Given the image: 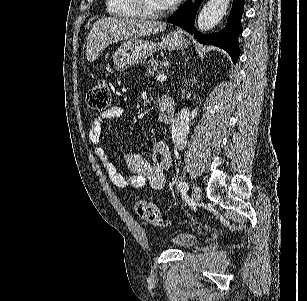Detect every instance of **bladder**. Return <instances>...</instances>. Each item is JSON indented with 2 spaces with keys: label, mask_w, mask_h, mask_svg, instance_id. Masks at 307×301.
Returning a JSON list of instances; mask_svg holds the SVG:
<instances>
[{
  "label": "bladder",
  "mask_w": 307,
  "mask_h": 301,
  "mask_svg": "<svg viewBox=\"0 0 307 301\" xmlns=\"http://www.w3.org/2000/svg\"><path fill=\"white\" fill-rule=\"evenodd\" d=\"M169 243L175 246H179L182 250L190 249L196 243H198V238L193 235H172L170 237Z\"/></svg>",
  "instance_id": "1"
}]
</instances>
